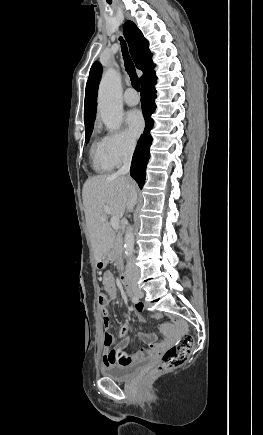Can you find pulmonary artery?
Returning <instances> with one entry per match:
<instances>
[{"label": "pulmonary artery", "instance_id": "obj_1", "mask_svg": "<svg viewBox=\"0 0 263 435\" xmlns=\"http://www.w3.org/2000/svg\"><path fill=\"white\" fill-rule=\"evenodd\" d=\"M124 102L128 106H135L139 103V96L134 89H128L124 94Z\"/></svg>", "mask_w": 263, "mask_h": 435}]
</instances>
